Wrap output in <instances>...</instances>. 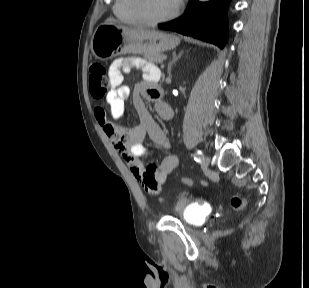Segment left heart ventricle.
I'll return each instance as SVG.
<instances>
[{
  "label": "left heart ventricle",
  "mask_w": 309,
  "mask_h": 288,
  "mask_svg": "<svg viewBox=\"0 0 309 288\" xmlns=\"http://www.w3.org/2000/svg\"><path fill=\"white\" fill-rule=\"evenodd\" d=\"M179 0H146L145 8L152 17L164 16L175 9Z\"/></svg>",
  "instance_id": "b2bd125f"
}]
</instances>
